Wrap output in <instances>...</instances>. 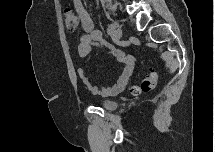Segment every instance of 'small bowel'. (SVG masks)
<instances>
[{"label":"small bowel","instance_id":"obj_1","mask_svg":"<svg viewBox=\"0 0 215 152\" xmlns=\"http://www.w3.org/2000/svg\"><path fill=\"white\" fill-rule=\"evenodd\" d=\"M74 7L85 31V34L79 38L77 47L79 57L84 58L90 53L93 47H99L107 49L109 53L113 54L121 63L125 65L123 76L119 81L111 86H104L100 89L92 85L84 70L79 68L78 75L82 84L94 95L114 96L122 93L125 90L126 84L135 68V58L132 55L126 54L125 52L115 48L103 38L101 31L94 28L90 14L82 1L75 0Z\"/></svg>","mask_w":215,"mask_h":152}]
</instances>
